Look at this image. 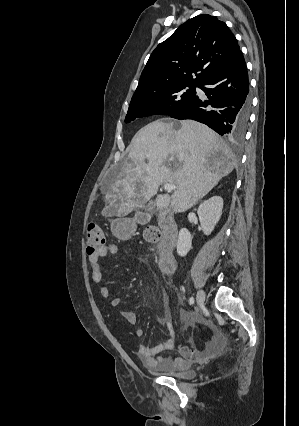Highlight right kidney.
<instances>
[{
    "mask_svg": "<svg viewBox=\"0 0 299 426\" xmlns=\"http://www.w3.org/2000/svg\"><path fill=\"white\" fill-rule=\"evenodd\" d=\"M223 199L220 196H212L198 207L200 225L205 235L211 234L222 215ZM192 248V236L186 228L179 231L177 241V253L184 257Z\"/></svg>",
    "mask_w": 299,
    "mask_h": 426,
    "instance_id": "1",
    "label": "right kidney"
}]
</instances>
